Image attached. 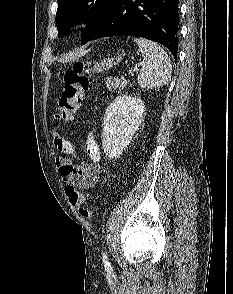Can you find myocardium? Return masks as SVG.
<instances>
[{"label": "myocardium", "instance_id": "myocardium-1", "mask_svg": "<svg viewBox=\"0 0 233 294\" xmlns=\"http://www.w3.org/2000/svg\"><path fill=\"white\" fill-rule=\"evenodd\" d=\"M86 23H87V21H86L85 18H79L75 22V27L77 29H81V28H83L86 25Z\"/></svg>", "mask_w": 233, "mask_h": 294}]
</instances>
